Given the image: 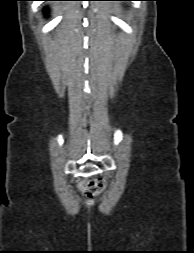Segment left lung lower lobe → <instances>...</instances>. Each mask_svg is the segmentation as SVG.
Masks as SVG:
<instances>
[{
	"label": "left lung lower lobe",
	"instance_id": "obj_1",
	"mask_svg": "<svg viewBox=\"0 0 194 253\" xmlns=\"http://www.w3.org/2000/svg\"><path fill=\"white\" fill-rule=\"evenodd\" d=\"M117 1H133V0H117Z\"/></svg>",
	"mask_w": 194,
	"mask_h": 253
}]
</instances>
